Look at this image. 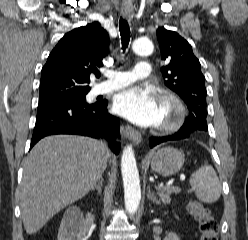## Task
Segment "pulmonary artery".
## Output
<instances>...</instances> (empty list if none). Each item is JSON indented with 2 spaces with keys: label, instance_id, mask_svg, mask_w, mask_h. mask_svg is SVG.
I'll use <instances>...</instances> for the list:
<instances>
[{
  "label": "pulmonary artery",
  "instance_id": "1",
  "mask_svg": "<svg viewBox=\"0 0 248 240\" xmlns=\"http://www.w3.org/2000/svg\"><path fill=\"white\" fill-rule=\"evenodd\" d=\"M149 75L150 65L146 61H139L132 71H110L106 81L95 85L92 95L105 94L120 89L135 81L148 79Z\"/></svg>",
  "mask_w": 248,
  "mask_h": 240
}]
</instances>
